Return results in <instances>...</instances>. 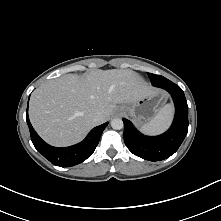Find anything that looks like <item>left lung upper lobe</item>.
I'll use <instances>...</instances> for the list:
<instances>
[{"label":"left lung upper lobe","mask_w":221,"mask_h":221,"mask_svg":"<svg viewBox=\"0 0 221 221\" xmlns=\"http://www.w3.org/2000/svg\"><path fill=\"white\" fill-rule=\"evenodd\" d=\"M148 75L151 80V83L156 87H160L163 84H168L171 82L170 80H168L165 77L160 76V75H156V74H152V73H148Z\"/></svg>","instance_id":"left-lung-upper-lobe-1"}]
</instances>
